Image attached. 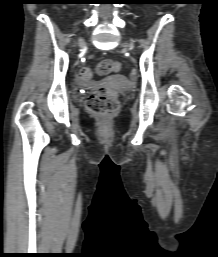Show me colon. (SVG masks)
<instances>
[{"instance_id": "obj_1", "label": "colon", "mask_w": 218, "mask_h": 257, "mask_svg": "<svg viewBox=\"0 0 218 257\" xmlns=\"http://www.w3.org/2000/svg\"><path fill=\"white\" fill-rule=\"evenodd\" d=\"M162 7H169V2H162ZM161 12H164V9H161ZM122 66V61H116L114 59H106L98 64L96 67V73L99 75H108L120 70ZM94 70H91L90 67H81L78 68L77 72V81L78 85H83V87H92L96 84ZM129 79L135 80L136 74H129ZM94 83V84H93ZM86 107L88 111L98 117L99 119L106 121L111 116H113L119 109V99L115 91L102 87L94 91L86 101Z\"/></svg>"}]
</instances>
